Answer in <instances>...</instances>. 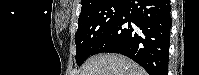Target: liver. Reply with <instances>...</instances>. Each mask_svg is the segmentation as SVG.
Segmentation results:
<instances>
[{"label": "liver", "instance_id": "6515ba94", "mask_svg": "<svg viewBox=\"0 0 199 75\" xmlns=\"http://www.w3.org/2000/svg\"><path fill=\"white\" fill-rule=\"evenodd\" d=\"M78 75H147V73L125 56L99 54L87 60Z\"/></svg>", "mask_w": 199, "mask_h": 75}]
</instances>
